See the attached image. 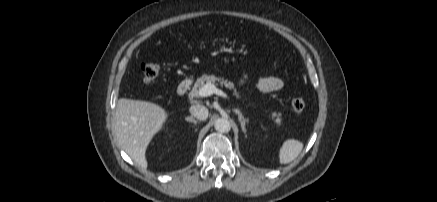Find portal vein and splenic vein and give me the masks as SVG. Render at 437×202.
I'll use <instances>...</instances> for the list:
<instances>
[{
    "instance_id": "obj_1",
    "label": "portal vein and splenic vein",
    "mask_w": 437,
    "mask_h": 202,
    "mask_svg": "<svg viewBox=\"0 0 437 202\" xmlns=\"http://www.w3.org/2000/svg\"><path fill=\"white\" fill-rule=\"evenodd\" d=\"M212 94H216V95L222 96V97H224V98L227 97V94H226V93H224V92H223L222 90H220V89H217V88L215 87V85L212 84V83H206L204 86H202V87L199 89V96H201V97H207V96H210V95H212Z\"/></svg>"
}]
</instances>
